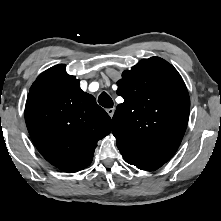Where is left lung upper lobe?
I'll return each mask as SVG.
<instances>
[{
	"instance_id": "1",
	"label": "left lung upper lobe",
	"mask_w": 221,
	"mask_h": 221,
	"mask_svg": "<svg viewBox=\"0 0 221 221\" xmlns=\"http://www.w3.org/2000/svg\"><path fill=\"white\" fill-rule=\"evenodd\" d=\"M117 85V94L124 98L113 116L117 147L166 163L189 119L190 99L180 74L164 59L152 57L124 71Z\"/></svg>"
}]
</instances>
